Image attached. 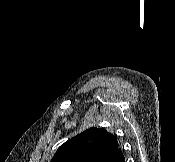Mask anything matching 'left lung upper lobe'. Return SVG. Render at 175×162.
<instances>
[{"mask_svg":"<svg viewBox=\"0 0 175 162\" xmlns=\"http://www.w3.org/2000/svg\"><path fill=\"white\" fill-rule=\"evenodd\" d=\"M117 148L116 137L92 127L62 144L50 162H105Z\"/></svg>","mask_w":175,"mask_h":162,"instance_id":"obj_1","label":"left lung upper lobe"}]
</instances>
